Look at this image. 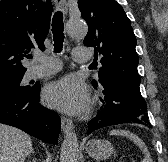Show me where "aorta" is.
Returning <instances> with one entry per match:
<instances>
[{
  "label": "aorta",
  "instance_id": "762f6f07",
  "mask_svg": "<svg viewBox=\"0 0 168 162\" xmlns=\"http://www.w3.org/2000/svg\"><path fill=\"white\" fill-rule=\"evenodd\" d=\"M88 27L82 19H70L67 22V33L72 38H83ZM78 138L74 132L66 134L61 146L60 162H78Z\"/></svg>",
  "mask_w": 168,
  "mask_h": 162
}]
</instances>
